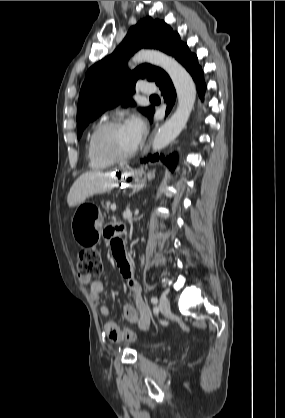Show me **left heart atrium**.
Segmentation results:
<instances>
[{
	"mask_svg": "<svg viewBox=\"0 0 285 418\" xmlns=\"http://www.w3.org/2000/svg\"><path fill=\"white\" fill-rule=\"evenodd\" d=\"M127 130L132 135L135 144H138L146 129V123L140 115H131L125 124Z\"/></svg>",
	"mask_w": 285,
	"mask_h": 418,
	"instance_id": "39dd6f15",
	"label": "left heart atrium"
}]
</instances>
